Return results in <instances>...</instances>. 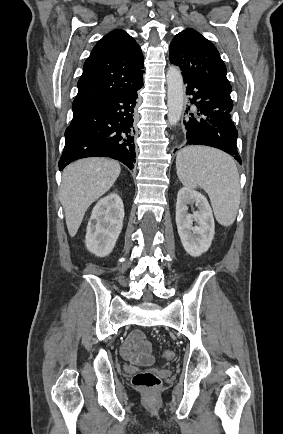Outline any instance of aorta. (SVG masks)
Instances as JSON below:
<instances>
[{
    "label": "aorta",
    "instance_id": "obj_1",
    "mask_svg": "<svg viewBox=\"0 0 283 434\" xmlns=\"http://www.w3.org/2000/svg\"><path fill=\"white\" fill-rule=\"evenodd\" d=\"M167 78V106H168V122L171 126H175L181 117L184 104V87L181 71L170 66L166 74Z\"/></svg>",
    "mask_w": 283,
    "mask_h": 434
}]
</instances>
